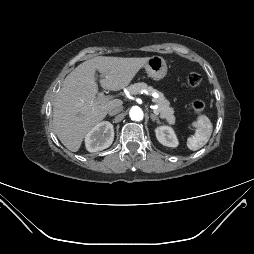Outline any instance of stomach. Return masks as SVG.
<instances>
[{
	"label": "stomach",
	"mask_w": 254,
	"mask_h": 254,
	"mask_svg": "<svg viewBox=\"0 0 254 254\" xmlns=\"http://www.w3.org/2000/svg\"><path fill=\"white\" fill-rule=\"evenodd\" d=\"M144 68L149 77L154 80H161L167 74V64L163 57L152 56L144 64Z\"/></svg>",
	"instance_id": "1"
}]
</instances>
